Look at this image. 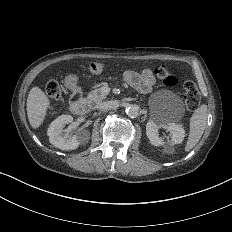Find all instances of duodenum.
I'll return each mask as SVG.
<instances>
[{
	"instance_id": "1",
	"label": "duodenum",
	"mask_w": 232,
	"mask_h": 232,
	"mask_svg": "<svg viewBox=\"0 0 232 232\" xmlns=\"http://www.w3.org/2000/svg\"><path fill=\"white\" fill-rule=\"evenodd\" d=\"M68 88L71 91L70 97V111L74 115H81L84 112V103L82 101V94L80 89L73 83L67 84Z\"/></svg>"
}]
</instances>
